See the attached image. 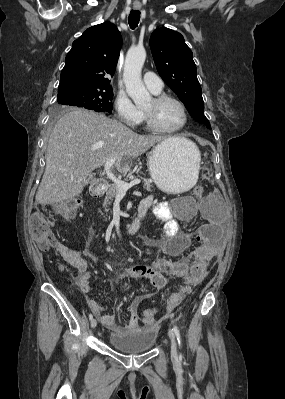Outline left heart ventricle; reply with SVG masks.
Instances as JSON below:
<instances>
[{
  "mask_svg": "<svg viewBox=\"0 0 285 399\" xmlns=\"http://www.w3.org/2000/svg\"><path fill=\"white\" fill-rule=\"evenodd\" d=\"M144 110L155 113L159 125L165 128H175L184 120L181 108L173 101L156 106L152 99L145 105Z\"/></svg>",
  "mask_w": 285,
  "mask_h": 399,
  "instance_id": "left-heart-ventricle-1",
  "label": "left heart ventricle"
}]
</instances>
